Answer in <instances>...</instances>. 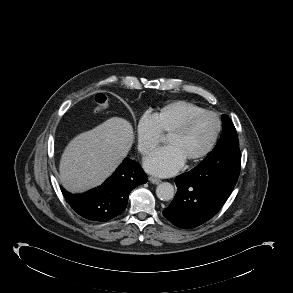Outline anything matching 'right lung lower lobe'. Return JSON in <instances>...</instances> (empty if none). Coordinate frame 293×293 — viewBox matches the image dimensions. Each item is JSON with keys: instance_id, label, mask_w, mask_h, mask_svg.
I'll use <instances>...</instances> for the list:
<instances>
[{"instance_id": "98d812e1", "label": "right lung lower lobe", "mask_w": 293, "mask_h": 293, "mask_svg": "<svg viewBox=\"0 0 293 293\" xmlns=\"http://www.w3.org/2000/svg\"><path fill=\"white\" fill-rule=\"evenodd\" d=\"M147 182V176L134 160L126 158L101 186L84 194H71L61 188L72 209L82 217L99 222L108 221L122 213L129 193Z\"/></svg>"}]
</instances>
